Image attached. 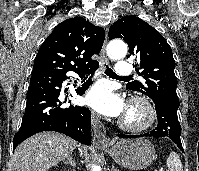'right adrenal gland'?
Masks as SVG:
<instances>
[{
  "label": "right adrenal gland",
  "mask_w": 199,
  "mask_h": 171,
  "mask_svg": "<svg viewBox=\"0 0 199 171\" xmlns=\"http://www.w3.org/2000/svg\"><path fill=\"white\" fill-rule=\"evenodd\" d=\"M65 164H70L72 167H73V171H75V168H76V163L75 161L73 160L72 158V155L69 154L68 158L66 161H64Z\"/></svg>",
  "instance_id": "1"
}]
</instances>
